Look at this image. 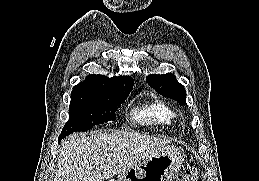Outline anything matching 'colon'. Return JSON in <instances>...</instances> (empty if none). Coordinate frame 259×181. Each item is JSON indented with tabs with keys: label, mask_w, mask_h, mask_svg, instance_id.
Listing matches in <instances>:
<instances>
[{
	"label": "colon",
	"mask_w": 259,
	"mask_h": 181,
	"mask_svg": "<svg viewBox=\"0 0 259 181\" xmlns=\"http://www.w3.org/2000/svg\"><path fill=\"white\" fill-rule=\"evenodd\" d=\"M197 175V169L195 167H192L176 176L175 181H196Z\"/></svg>",
	"instance_id": "5ec220e1"
}]
</instances>
